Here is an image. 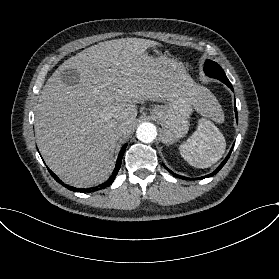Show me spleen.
I'll return each mask as SVG.
<instances>
[{
	"label": "spleen",
	"instance_id": "1",
	"mask_svg": "<svg viewBox=\"0 0 279 279\" xmlns=\"http://www.w3.org/2000/svg\"><path fill=\"white\" fill-rule=\"evenodd\" d=\"M199 111L204 116L196 123V130L178 149L181 156L192 166L205 168L218 161L225 151V140L210 122L222 124L224 115L216 98L202 89ZM186 156V158H185Z\"/></svg>",
	"mask_w": 279,
	"mask_h": 279
}]
</instances>
